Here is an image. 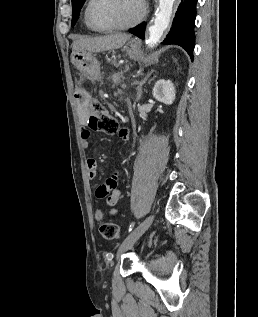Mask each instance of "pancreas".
I'll return each instance as SVG.
<instances>
[{
    "instance_id": "pancreas-1",
    "label": "pancreas",
    "mask_w": 258,
    "mask_h": 317,
    "mask_svg": "<svg viewBox=\"0 0 258 317\" xmlns=\"http://www.w3.org/2000/svg\"><path fill=\"white\" fill-rule=\"evenodd\" d=\"M114 84V89L116 93H124L126 91V88L124 86H122L121 82L122 79L120 77H115L113 79Z\"/></svg>"
}]
</instances>
